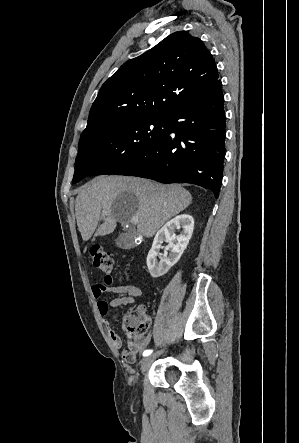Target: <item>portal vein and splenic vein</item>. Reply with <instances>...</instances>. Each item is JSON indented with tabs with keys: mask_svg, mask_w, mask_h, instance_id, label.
Listing matches in <instances>:
<instances>
[{
	"mask_svg": "<svg viewBox=\"0 0 299 443\" xmlns=\"http://www.w3.org/2000/svg\"><path fill=\"white\" fill-rule=\"evenodd\" d=\"M103 213L106 214L107 212H106V211H103ZM138 221H139V219H138L137 216H132V217H131L130 222H131L132 224H137Z\"/></svg>",
	"mask_w": 299,
	"mask_h": 443,
	"instance_id": "obj_1",
	"label": "portal vein and splenic vein"
}]
</instances>
